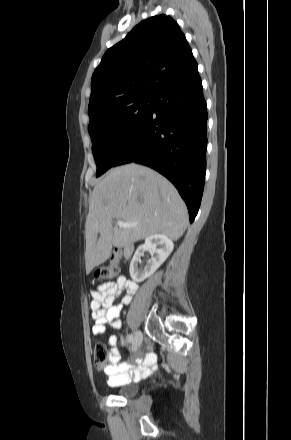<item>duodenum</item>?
<instances>
[{
  "mask_svg": "<svg viewBox=\"0 0 291 440\" xmlns=\"http://www.w3.org/2000/svg\"><path fill=\"white\" fill-rule=\"evenodd\" d=\"M132 251H133V247H132L131 244H128V243H127V244H124V245H123V252H124L125 255H129V254H131Z\"/></svg>",
  "mask_w": 291,
  "mask_h": 440,
  "instance_id": "obj_1",
  "label": "duodenum"
}]
</instances>
